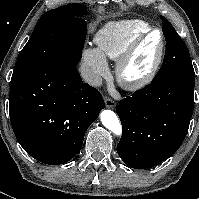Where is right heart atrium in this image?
<instances>
[{
  "instance_id": "right-heart-atrium-1",
  "label": "right heart atrium",
  "mask_w": 199,
  "mask_h": 199,
  "mask_svg": "<svg viewBox=\"0 0 199 199\" xmlns=\"http://www.w3.org/2000/svg\"><path fill=\"white\" fill-rule=\"evenodd\" d=\"M84 68L91 84L97 85L101 77L108 74V66L101 53L94 48H87L83 52Z\"/></svg>"
}]
</instances>
